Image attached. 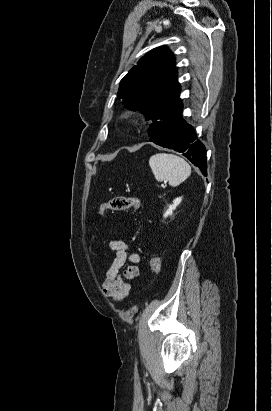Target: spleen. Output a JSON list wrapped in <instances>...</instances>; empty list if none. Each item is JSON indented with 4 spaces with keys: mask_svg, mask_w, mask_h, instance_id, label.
Returning <instances> with one entry per match:
<instances>
[{
    "mask_svg": "<svg viewBox=\"0 0 272 411\" xmlns=\"http://www.w3.org/2000/svg\"><path fill=\"white\" fill-rule=\"evenodd\" d=\"M149 166L157 181H168L173 187L184 182L191 174L190 165L174 154L157 153L150 157Z\"/></svg>",
    "mask_w": 272,
    "mask_h": 411,
    "instance_id": "1",
    "label": "spleen"
}]
</instances>
